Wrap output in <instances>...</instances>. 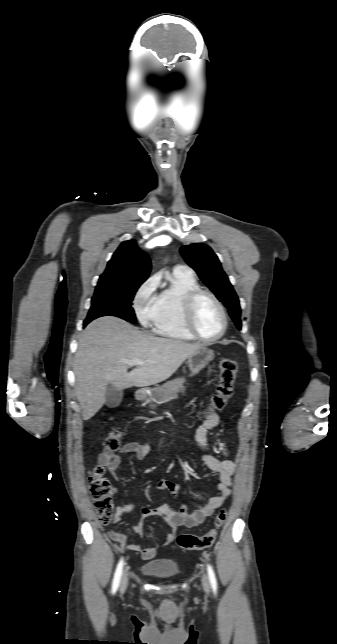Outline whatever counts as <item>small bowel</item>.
<instances>
[{
  "label": "small bowel",
  "instance_id": "c3829d8e",
  "mask_svg": "<svg viewBox=\"0 0 337 644\" xmlns=\"http://www.w3.org/2000/svg\"><path fill=\"white\" fill-rule=\"evenodd\" d=\"M219 423V416L215 412H210L204 422L197 428L195 438L196 446L201 450H206L208 441V431L215 428ZM151 445L139 444L136 442H128L123 444L117 451L104 449L99 457L100 464L108 470L110 474L116 476V471L121 462L122 454H134L139 460L144 459L149 455ZM205 465L218 475V493L211 497L205 504H199L192 500L186 499L181 494L182 483L168 479L158 481L156 488L169 492L180 504V508L175 510L168 504H162L156 508H143L141 511V521L152 517H161L170 528V533L163 539V541L153 547L142 548L139 542H133L129 548L133 551L140 552L145 559L152 558L160 551V549L168 546L175 538L176 531L180 527L192 528L201 524L206 517L212 515L225 500L230 496L232 491V476L236 469L234 461L229 459H221L213 454L206 453L202 457ZM185 503H189L195 507L194 511L187 513ZM133 508L132 503L121 505L117 507L114 523L121 521L124 514ZM132 529L138 534L142 535V525H134ZM108 536L120 546H124L127 542V536L124 533L115 530H109Z\"/></svg>",
  "mask_w": 337,
  "mask_h": 644
}]
</instances>
